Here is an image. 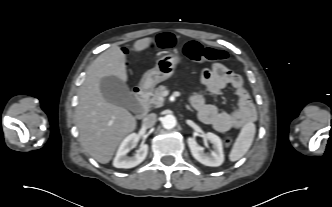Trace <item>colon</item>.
Listing matches in <instances>:
<instances>
[{
  "instance_id": "5ec220e1",
  "label": "colon",
  "mask_w": 332,
  "mask_h": 207,
  "mask_svg": "<svg viewBox=\"0 0 332 207\" xmlns=\"http://www.w3.org/2000/svg\"><path fill=\"white\" fill-rule=\"evenodd\" d=\"M174 36L170 33H164L157 37L155 45L161 48H170L174 43ZM185 55L197 62H222L228 60V54L220 49L204 47L196 41H190L185 45ZM225 145L232 143L230 137L224 140Z\"/></svg>"
}]
</instances>
